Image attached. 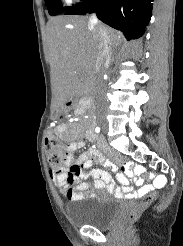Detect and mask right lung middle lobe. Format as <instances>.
<instances>
[{"mask_svg": "<svg viewBox=\"0 0 183 246\" xmlns=\"http://www.w3.org/2000/svg\"><path fill=\"white\" fill-rule=\"evenodd\" d=\"M48 4V11L50 15H57L63 11H67L70 7H62L60 0H45Z\"/></svg>", "mask_w": 183, "mask_h": 246, "instance_id": "1", "label": "right lung middle lobe"}]
</instances>
